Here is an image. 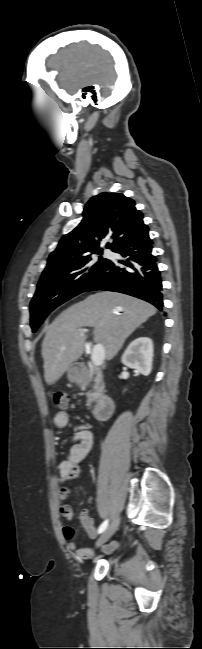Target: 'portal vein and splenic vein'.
<instances>
[{"mask_svg": "<svg viewBox=\"0 0 202 649\" xmlns=\"http://www.w3.org/2000/svg\"><path fill=\"white\" fill-rule=\"evenodd\" d=\"M83 330V329H81ZM105 358V350L101 343H97L92 350L91 360L94 366H100Z\"/></svg>", "mask_w": 202, "mask_h": 649, "instance_id": "obj_1", "label": "portal vein and splenic vein"}]
</instances>
